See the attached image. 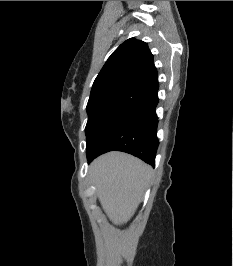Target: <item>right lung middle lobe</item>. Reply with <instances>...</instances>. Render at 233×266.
Segmentation results:
<instances>
[{
	"mask_svg": "<svg viewBox=\"0 0 233 266\" xmlns=\"http://www.w3.org/2000/svg\"><path fill=\"white\" fill-rule=\"evenodd\" d=\"M148 93L123 91L88 101L87 155L94 152L124 119L147 97Z\"/></svg>",
	"mask_w": 233,
	"mask_h": 266,
	"instance_id": "1",
	"label": "right lung middle lobe"
}]
</instances>
